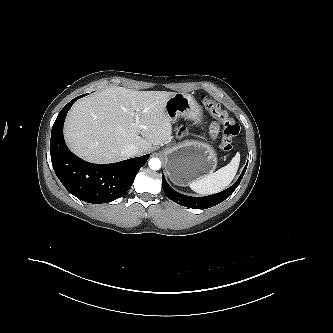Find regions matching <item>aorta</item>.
<instances>
[{
    "label": "aorta",
    "mask_w": 333,
    "mask_h": 333,
    "mask_svg": "<svg viewBox=\"0 0 333 333\" xmlns=\"http://www.w3.org/2000/svg\"><path fill=\"white\" fill-rule=\"evenodd\" d=\"M148 165L151 170H159L161 168V161L158 158H151Z\"/></svg>",
    "instance_id": "762f6f07"
}]
</instances>
